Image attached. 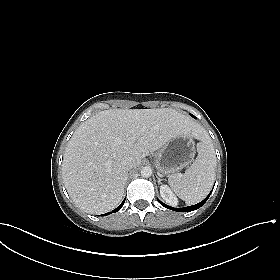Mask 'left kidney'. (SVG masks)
Segmentation results:
<instances>
[{
	"label": "left kidney",
	"instance_id": "5707ae66",
	"mask_svg": "<svg viewBox=\"0 0 280 280\" xmlns=\"http://www.w3.org/2000/svg\"><path fill=\"white\" fill-rule=\"evenodd\" d=\"M160 195L167 203L171 205H177L178 200L167 185L160 186Z\"/></svg>",
	"mask_w": 280,
	"mask_h": 280
}]
</instances>
